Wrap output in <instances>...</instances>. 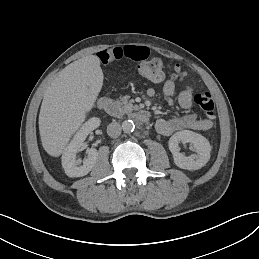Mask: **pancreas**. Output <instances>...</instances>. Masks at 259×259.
I'll return each instance as SVG.
<instances>
[{
  "label": "pancreas",
  "instance_id": "pancreas-1",
  "mask_svg": "<svg viewBox=\"0 0 259 259\" xmlns=\"http://www.w3.org/2000/svg\"><path fill=\"white\" fill-rule=\"evenodd\" d=\"M129 96H124L121 98V102L123 103V109L125 112H131L133 109H138L137 106H133V101L129 100Z\"/></svg>",
  "mask_w": 259,
  "mask_h": 259
}]
</instances>
